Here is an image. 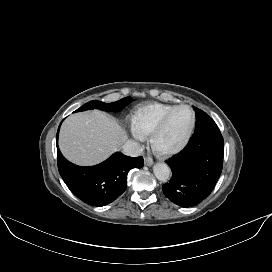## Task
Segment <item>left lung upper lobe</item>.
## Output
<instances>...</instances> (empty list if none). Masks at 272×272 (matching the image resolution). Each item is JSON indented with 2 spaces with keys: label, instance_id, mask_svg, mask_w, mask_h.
I'll use <instances>...</instances> for the list:
<instances>
[{
  "label": "left lung upper lobe",
  "instance_id": "left-lung-upper-lobe-1",
  "mask_svg": "<svg viewBox=\"0 0 272 272\" xmlns=\"http://www.w3.org/2000/svg\"><path fill=\"white\" fill-rule=\"evenodd\" d=\"M196 115V126L193 135H198L214 126H217L216 123L202 110L193 107Z\"/></svg>",
  "mask_w": 272,
  "mask_h": 272
}]
</instances>
